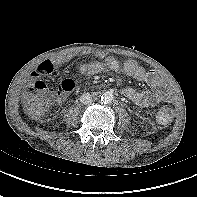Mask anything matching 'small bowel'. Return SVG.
Masks as SVG:
<instances>
[{"instance_id": "c3829d8e", "label": "small bowel", "mask_w": 197, "mask_h": 197, "mask_svg": "<svg viewBox=\"0 0 197 197\" xmlns=\"http://www.w3.org/2000/svg\"><path fill=\"white\" fill-rule=\"evenodd\" d=\"M96 56L103 61H92L80 66V73L83 75H96L102 72H117L120 69L139 82L147 83L151 91H140L132 87L123 89V95L142 107H151L160 101L173 98L172 90L168 82L156 71H146L134 60H127L121 64L116 58L107 56L105 52L98 51ZM72 59V55H64L53 60H46L38 65L33 76L49 75L55 71L57 66L65 64Z\"/></svg>"}]
</instances>
